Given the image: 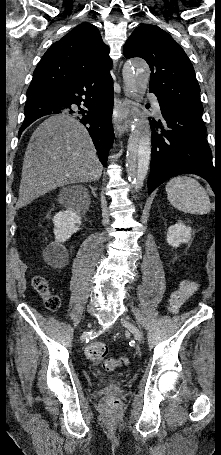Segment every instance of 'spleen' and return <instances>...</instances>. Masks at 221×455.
Returning <instances> with one entry per match:
<instances>
[{
  "label": "spleen",
  "mask_w": 221,
  "mask_h": 455,
  "mask_svg": "<svg viewBox=\"0 0 221 455\" xmlns=\"http://www.w3.org/2000/svg\"><path fill=\"white\" fill-rule=\"evenodd\" d=\"M168 200L178 210L190 214H207L211 210L209 196L194 178L177 176L166 185Z\"/></svg>",
  "instance_id": "1"
}]
</instances>
